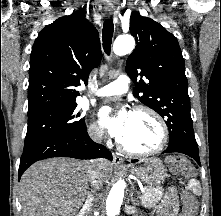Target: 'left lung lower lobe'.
<instances>
[{
    "label": "left lung lower lobe",
    "mask_w": 221,
    "mask_h": 216,
    "mask_svg": "<svg viewBox=\"0 0 221 216\" xmlns=\"http://www.w3.org/2000/svg\"><path fill=\"white\" fill-rule=\"evenodd\" d=\"M172 152H179V153L186 154L192 157L200 165L198 149L190 148L184 145L168 146V148L163 153H172ZM136 161L137 160H132V162H136Z\"/></svg>",
    "instance_id": "0a47b994"
}]
</instances>
